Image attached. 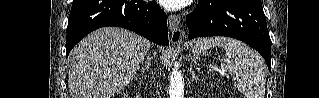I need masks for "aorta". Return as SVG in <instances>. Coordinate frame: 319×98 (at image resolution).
<instances>
[{
	"label": "aorta",
	"mask_w": 319,
	"mask_h": 98,
	"mask_svg": "<svg viewBox=\"0 0 319 98\" xmlns=\"http://www.w3.org/2000/svg\"><path fill=\"white\" fill-rule=\"evenodd\" d=\"M183 95V76L180 71L174 69L170 77L169 96L170 98H183Z\"/></svg>",
	"instance_id": "obj_1"
}]
</instances>
